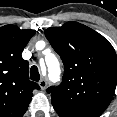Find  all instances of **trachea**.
Returning <instances> with one entry per match:
<instances>
[{
	"label": "trachea",
	"mask_w": 117,
	"mask_h": 117,
	"mask_svg": "<svg viewBox=\"0 0 117 117\" xmlns=\"http://www.w3.org/2000/svg\"><path fill=\"white\" fill-rule=\"evenodd\" d=\"M30 77H31V80L33 81H39L40 79V73H39V69L37 66L33 65L30 69Z\"/></svg>",
	"instance_id": "3493384b"
}]
</instances>
